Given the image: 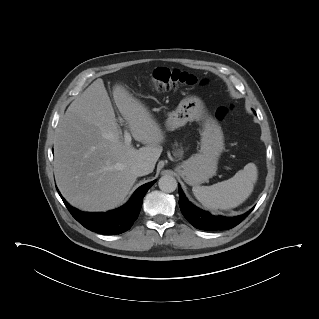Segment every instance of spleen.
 <instances>
[{
	"label": "spleen",
	"mask_w": 319,
	"mask_h": 319,
	"mask_svg": "<svg viewBox=\"0 0 319 319\" xmlns=\"http://www.w3.org/2000/svg\"><path fill=\"white\" fill-rule=\"evenodd\" d=\"M258 178L257 167L248 163L232 178L211 186H194L196 199L208 209H231L242 204L252 193Z\"/></svg>",
	"instance_id": "obj_1"
}]
</instances>
